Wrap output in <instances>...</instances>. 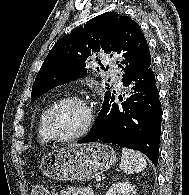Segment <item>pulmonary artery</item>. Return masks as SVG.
Wrapping results in <instances>:
<instances>
[{
    "mask_svg": "<svg viewBox=\"0 0 189 195\" xmlns=\"http://www.w3.org/2000/svg\"><path fill=\"white\" fill-rule=\"evenodd\" d=\"M115 82L117 83L118 86H120V79H115Z\"/></svg>",
    "mask_w": 189,
    "mask_h": 195,
    "instance_id": "obj_1",
    "label": "pulmonary artery"
}]
</instances>
